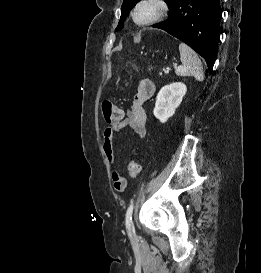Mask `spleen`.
I'll return each mask as SVG.
<instances>
[{"instance_id":"spleen-1","label":"spleen","mask_w":261,"mask_h":273,"mask_svg":"<svg viewBox=\"0 0 261 273\" xmlns=\"http://www.w3.org/2000/svg\"><path fill=\"white\" fill-rule=\"evenodd\" d=\"M179 51L182 65L176 68V75L183 77L193 76L196 80L203 81L204 71L202 63L195 51L185 43H180Z\"/></svg>"}]
</instances>
